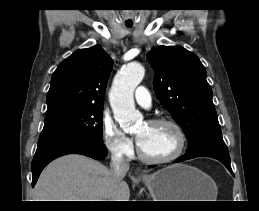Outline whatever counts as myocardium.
Instances as JSON below:
<instances>
[{
  "label": "myocardium",
  "instance_id": "myocardium-1",
  "mask_svg": "<svg viewBox=\"0 0 259 211\" xmlns=\"http://www.w3.org/2000/svg\"><path fill=\"white\" fill-rule=\"evenodd\" d=\"M148 123L152 124V125H168V126H170L174 130L175 135H176V147H175L174 151L167 156L151 157L143 152V150L141 149V147L138 143L137 144L138 157L142 161L149 163V164H164V163H169V162L176 160L182 154V152L185 148V144H186V136H185V133H184L182 127L180 126V124L177 121H175L174 119L168 118V117L154 118V119L149 120Z\"/></svg>",
  "mask_w": 259,
  "mask_h": 211
}]
</instances>
